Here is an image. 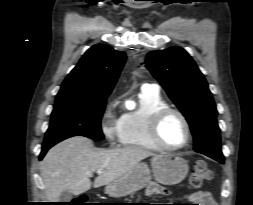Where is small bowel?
I'll list each match as a JSON object with an SVG mask.
<instances>
[{"label":"small bowel","instance_id":"small-bowel-1","mask_svg":"<svg viewBox=\"0 0 253 205\" xmlns=\"http://www.w3.org/2000/svg\"><path fill=\"white\" fill-rule=\"evenodd\" d=\"M168 191L157 183H151L147 188V195L167 194ZM187 198L194 205H215L211 195L205 191H193L187 194Z\"/></svg>","mask_w":253,"mask_h":205}]
</instances>
